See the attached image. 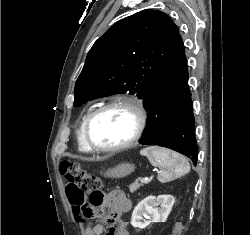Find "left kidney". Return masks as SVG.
Returning <instances> with one entry per match:
<instances>
[{
  "label": "left kidney",
  "mask_w": 250,
  "mask_h": 235,
  "mask_svg": "<svg viewBox=\"0 0 250 235\" xmlns=\"http://www.w3.org/2000/svg\"><path fill=\"white\" fill-rule=\"evenodd\" d=\"M174 202L175 198L171 195L146 197L134 208L131 225L134 228L144 229L151 223L165 222L172 210ZM143 217L148 220L143 219Z\"/></svg>",
  "instance_id": "left-kidney-1"
}]
</instances>
